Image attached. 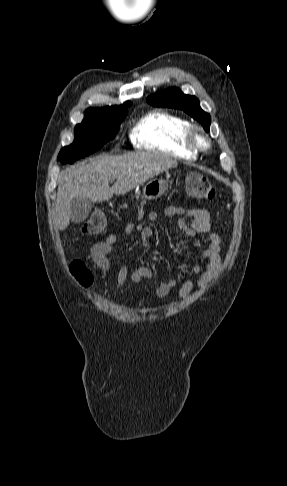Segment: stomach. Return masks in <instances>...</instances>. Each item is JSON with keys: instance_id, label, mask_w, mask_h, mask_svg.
Instances as JSON below:
<instances>
[{"instance_id": "1", "label": "stomach", "mask_w": 287, "mask_h": 486, "mask_svg": "<svg viewBox=\"0 0 287 486\" xmlns=\"http://www.w3.org/2000/svg\"><path fill=\"white\" fill-rule=\"evenodd\" d=\"M168 189V182L162 179H154L143 187V197L147 200L157 199Z\"/></svg>"}]
</instances>
